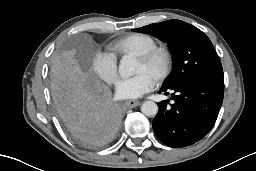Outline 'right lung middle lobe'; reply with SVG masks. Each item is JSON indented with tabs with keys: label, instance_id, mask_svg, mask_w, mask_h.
<instances>
[{
	"label": "right lung middle lobe",
	"instance_id": "obj_1",
	"mask_svg": "<svg viewBox=\"0 0 256 171\" xmlns=\"http://www.w3.org/2000/svg\"><path fill=\"white\" fill-rule=\"evenodd\" d=\"M51 92L54 102L79 90L73 72L62 59L56 60L51 69Z\"/></svg>",
	"mask_w": 256,
	"mask_h": 171
}]
</instances>
